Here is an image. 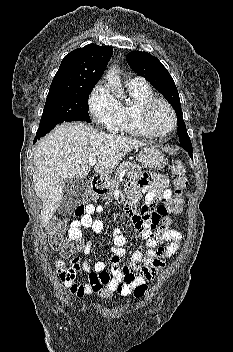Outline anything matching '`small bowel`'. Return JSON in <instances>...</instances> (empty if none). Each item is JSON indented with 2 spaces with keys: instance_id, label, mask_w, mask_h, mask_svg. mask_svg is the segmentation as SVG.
<instances>
[{
  "instance_id": "obj_1",
  "label": "small bowel",
  "mask_w": 233,
  "mask_h": 352,
  "mask_svg": "<svg viewBox=\"0 0 233 352\" xmlns=\"http://www.w3.org/2000/svg\"><path fill=\"white\" fill-rule=\"evenodd\" d=\"M129 203L126 214L139 230L140 238L148 247L144 254L140 250L132 253L131 263L128 266L121 264V257L124 255V245L126 237L120 229L113 231V242L115 247L111 250V275L106 271V264L99 261L94 266V272L104 274L109 277L106 287L108 289L127 295L139 284L153 279L156 274L164 267V259L172 256L179 249L182 235L177 230L171 229L169 225L161 222L162 212L155 208V202H166L171 198V190L168 188L166 180L157 173H144L137 182H131L127 186ZM140 192L145 193V199L141 204V209H136V204L140 200ZM103 208L88 204L85 207V214L78 220L70 223L68 229L69 239L80 243L83 237V229L91 228L95 233L103 230V222L93 218L94 213H101ZM168 242L166 247L160 244ZM84 254L92 251V243L87 242L81 245ZM85 271L90 267L85 262ZM81 270L80 259L75 257L71 261L69 275L62 279L63 284L69 293L78 298L92 294L91 287L87 282L80 283L77 276Z\"/></svg>"
}]
</instances>
